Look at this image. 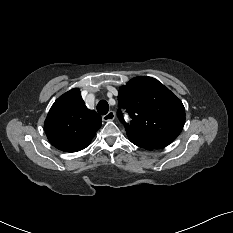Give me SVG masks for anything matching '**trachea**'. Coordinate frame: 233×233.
Instances as JSON below:
<instances>
[{
	"mask_svg": "<svg viewBox=\"0 0 233 233\" xmlns=\"http://www.w3.org/2000/svg\"><path fill=\"white\" fill-rule=\"evenodd\" d=\"M97 111L99 114L101 115H106L109 111V105L105 100H101L98 104H97Z\"/></svg>",
	"mask_w": 233,
	"mask_h": 233,
	"instance_id": "obj_1",
	"label": "trachea"
}]
</instances>
